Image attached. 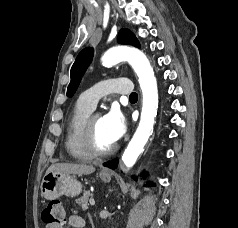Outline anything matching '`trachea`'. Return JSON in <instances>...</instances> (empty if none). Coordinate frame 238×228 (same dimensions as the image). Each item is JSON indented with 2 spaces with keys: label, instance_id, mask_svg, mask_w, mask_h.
Listing matches in <instances>:
<instances>
[{
  "label": "trachea",
  "instance_id": "trachea-1",
  "mask_svg": "<svg viewBox=\"0 0 238 228\" xmlns=\"http://www.w3.org/2000/svg\"><path fill=\"white\" fill-rule=\"evenodd\" d=\"M137 98H138V95L135 92L131 93L130 96H129L130 100H134V99H137Z\"/></svg>",
  "mask_w": 238,
  "mask_h": 228
}]
</instances>
